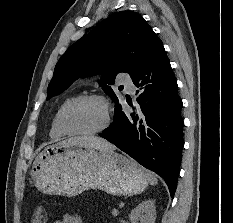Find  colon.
Segmentation results:
<instances>
[{
	"label": "colon",
	"instance_id": "obj_1",
	"mask_svg": "<svg viewBox=\"0 0 233 223\" xmlns=\"http://www.w3.org/2000/svg\"><path fill=\"white\" fill-rule=\"evenodd\" d=\"M39 213H35V218H34V223H44L45 222V218H44V214L41 212L42 210L39 209Z\"/></svg>",
	"mask_w": 233,
	"mask_h": 223
}]
</instances>
